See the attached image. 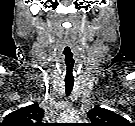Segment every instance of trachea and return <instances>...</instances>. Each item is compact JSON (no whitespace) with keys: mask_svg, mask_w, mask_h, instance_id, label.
Wrapping results in <instances>:
<instances>
[{"mask_svg":"<svg viewBox=\"0 0 135 126\" xmlns=\"http://www.w3.org/2000/svg\"><path fill=\"white\" fill-rule=\"evenodd\" d=\"M65 65H66L65 91L66 95L69 96L72 92L74 85V78H73L74 60L72 58V55L70 57L66 56Z\"/></svg>","mask_w":135,"mask_h":126,"instance_id":"1","label":"trachea"}]
</instances>
